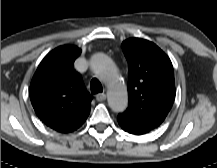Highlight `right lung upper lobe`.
<instances>
[{
  "label": "right lung upper lobe",
  "mask_w": 217,
  "mask_h": 168,
  "mask_svg": "<svg viewBox=\"0 0 217 168\" xmlns=\"http://www.w3.org/2000/svg\"><path fill=\"white\" fill-rule=\"evenodd\" d=\"M80 54L81 49L73 45L57 47L41 61L30 84L37 116L60 133L75 131L90 113L92 96L73 68Z\"/></svg>",
  "instance_id": "right-lung-upper-lobe-1"
}]
</instances>
